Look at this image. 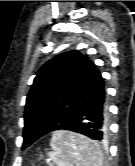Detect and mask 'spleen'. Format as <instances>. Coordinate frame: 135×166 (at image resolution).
Listing matches in <instances>:
<instances>
[{
    "label": "spleen",
    "mask_w": 135,
    "mask_h": 166,
    "mask_svg": "<svg viewBox=\"0 0 135 166\" xmlns=\"http://www.w3.org/2000/svg\"><path fill=\"white\" fill-rule=\"evenodd\" d=\"M49 158L56 166H103V152L97 141L70 131L53 132Z\"/></svg>",
    "instance_id": "spleen-1"
}]
</instances>
